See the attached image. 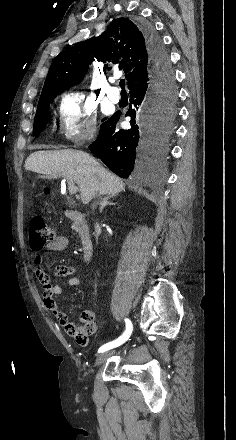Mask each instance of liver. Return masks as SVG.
Segmentation results:
<instances>
[{
	"instance_id": "6515ba94",
	"label": "liver",
	"mask_w": 236,
	"mask_h": 440,
	"mask_svg": "<svg viewBox=\"0 0 236 440\" xmlns=\"http://www.w3.org/2000/svg\"><path fill=\"white\" fill-rule=\"evenodd\" d=\"M25 169L52 177L72 179L80 189L83 204H88L97 193L117 195L125 190L119 177L82 151H36L26 159Z\"/></svg>"
}]
</instances>
